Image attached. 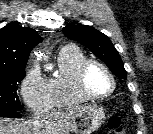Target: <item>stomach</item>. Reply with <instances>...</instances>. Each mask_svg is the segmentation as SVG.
<instances>
[{
  "label": "stomach",
  "instance_id": "1",
  "mask_svg": "<svg viewBox=\"0 0 153 134\" xmlns=\"http://www.w3.org/2000/svg\"><path fill=\"white\" fill-rule=\"evenodd\" d=\"M105 119L103 107L93 105L82 108L71 125L74 134H91L96 131Z\"/></svg>",
  "mask_w": 153,
  "mask_h": 134
}]
</instances>
